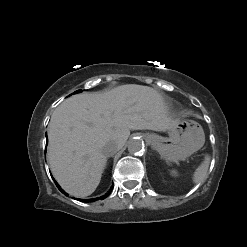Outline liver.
Wrapping results in <instances>:
<instances>
[{"mask_svg":"<svg viewBox=\"0 0 247 247\" xmlns=\"http://www.w3.org/2000/svg\"><path fill=\"white\" fill-rule=\"evenodd\" d=\"M176 120L162 96L148 86L126 84L104 93L74 95L54 110L48 126L52 174L69 194L89 196L107 163L105 144L115 142L121 149L131 130L165 132Z\"/></svg>","mask_w":247,"mask_h":247,"instance_id":"obj_1","label":"liver"}]
</instances>
